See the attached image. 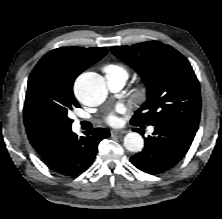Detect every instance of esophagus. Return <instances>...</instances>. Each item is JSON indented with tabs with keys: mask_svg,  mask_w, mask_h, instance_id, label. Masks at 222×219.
Listing matches in <instances>:
<instances>
[{
	"mask_svg": "<svg viewBox=\"0 0 222 219\" xmlns=\"http://www.w3.org/2000/svg\"><path fill=\"white\" fill-rule=\"evenodd\" d=\"M124 133H125V131H118V130H112L111 131L112 136H119V135H122Z\"/></svg>",
	"mask_w": 222,
	"mask_h": 219,
	"instance_id": "esophagus-1",
	"label": "esophagus"
}]
</instances>
